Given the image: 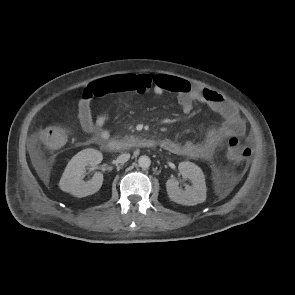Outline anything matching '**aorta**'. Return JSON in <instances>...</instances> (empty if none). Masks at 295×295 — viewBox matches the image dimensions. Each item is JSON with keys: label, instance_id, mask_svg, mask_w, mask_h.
Listing matches in <instances>:
<instances>
[{"label": "aorta", "instance_id": "762f6f07", "mask_svg": "<svg viewBox=\"0 0 295 295\" xmlns=\"http://www.w3.org/2000/svg\"><path fill=\"white\" fill-rule=\"evenodd\" d=\"M138 164L141 168H148L151 164V160L148 156H141L139 159H138Z\"/></svg>", "mask_w": 295, "mask_h": 295}]
</instances>
